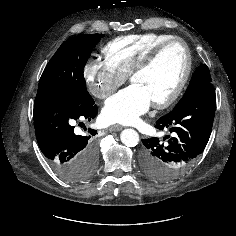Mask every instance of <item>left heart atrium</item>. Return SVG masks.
I'll return each mask as SVG.
<instances>
[{
  "instance_id": "1",
  "label": "left heart atrium",
  "mask_w": 236,
  "mask_h": 236,
  "mask_svg": "<svg viewBox=\"0 0 236 236\" xmlns=\"http://www.w3.org/2000/svg\"><path fill=\"white\" fill-rule=\"evenodd\" d=\"M151 103V98L142 86L131 84L106 101L102 119L108 124H134Z\"/></svg>"
}]
</instances>
